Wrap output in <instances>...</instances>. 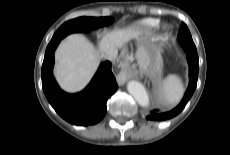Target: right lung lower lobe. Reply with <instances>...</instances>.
Segmentation results:
<instances>
[{
	"instance_id": "1",
	"label": "right lung lower lobe",
	"mask_w": 230,
	"mask_h": 155,
	"mask_svg": "<svg viewBox=\"0 0 230 155\" xmlns=\"http://www.w3.org/2000/svg\"><path fill=\"white\" fill-rule=\"evenodd\" d=\"M60 40L47 46L42 65V87L45 96L55 111L66 121L75 125H94L106 114V103L118 89L111 71V63H102L89 85L81 92L68 94L56 83L52 70L54 51Z\"/></svg>"
}]
</instances>
